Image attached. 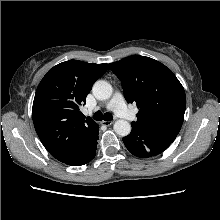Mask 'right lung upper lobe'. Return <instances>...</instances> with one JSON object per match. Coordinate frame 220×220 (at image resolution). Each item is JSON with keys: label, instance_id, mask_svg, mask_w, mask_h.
I'll return each instance as SVG.
<instances>
[{"label": "right lung upper lobe", "instance_id": "cb5924a9", "mask_svg": "<svg viewBox=\"0 0 220 220\" xmlns=\"http://www.w3.org/2000/svg\"><path fill=\"white\" fill-rule=\"evenodd\" d=\"M107 69V64L69 60L51 68L39 83L33 123L40 141L57 160L73 156L98 131L96 122L80 117L79 106Z\"/></svg>", "mask_w": 220, "mask_h": 220}]
</instances>
